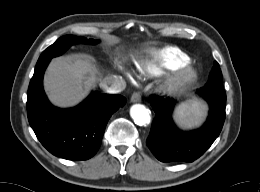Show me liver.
I'll use <instances>...</instances> for the list:
<instances>
[{
  "label": "liver",
  "instance_id": "1",
  "mask_svg": "<svg viewBox=\"0 0 260 192\" xmlns=\"http://www.w3.org/2000/svg\"><path fill=\"white\" fill-rule=\"evenodd\" d=\"M99 68L87 58H55L44 76V88L58 107H73L84 100L101 81Z\"/></svg>",
  "mask_w": 260,
  "mask_h": 192
}]
</instances>
